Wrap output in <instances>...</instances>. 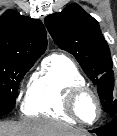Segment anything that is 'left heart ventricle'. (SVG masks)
Instances as JSON below:
<instances>
[{
  "label": "left heart ventricle",
  "instance_id": "1",
  "mask_svg": "<svg viewBox=\"0 0 117 136\" xmlns=\"http://www.w3.org/2000/svg\"><path fill=\"white\" fill-rule=\"evenodd\" d=\"M78 112L84 120L93 121L97 115L94 99L89 95L82 97L78 104Z\"/></svg>",
  "mask_w": 117,
  "mask_h": 136
}]
</instances>
